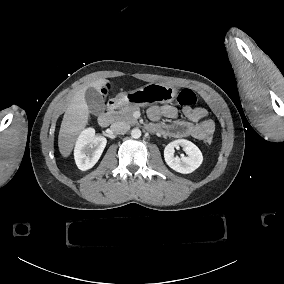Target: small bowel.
<instances>
[{"mask_svg": "<svg viewBox=\"0 0 284 284\" xmlns=\"http://www.w3.org/2000/svg\"><path fill=\"white\" fill-rule=\"evenodd\" d=\"M183 114L186 120H178L173 123H164L162 118L175 120L179 111L172 105H156L148 110L151 120V128L158 130L164 136L172 138L193 137L197 140H205L212 136L215 124L212 120L206 119L207 110L202 107H185Z\"/></svg>", "mask_w": 284, "mask_h": 284, "instance_id": "obj_1", "label": "small bowel"}]
</instances>
